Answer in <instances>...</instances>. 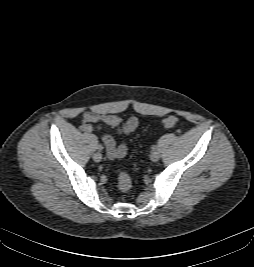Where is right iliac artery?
<instances>
[{"instance_id": "82829eb1", "label": "right iliac artery", "mask_w": 254, "mask_h": 267, "mask_svg": "<svg viewBox=\"0 0 254 267\" xmlns=\"http://www.w3.org/2000/svg\"><path fill=\"white\" fill-rule=\"evenodd\" d=\"M97 149H98V150H102V149H103V146H102V145H98V146H97Z\"/></svg>"}]
</instances>
